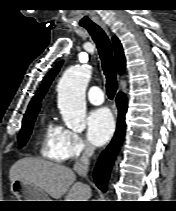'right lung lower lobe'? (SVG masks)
Here are the masks:
<instances>
[{
  "label": "right lung lower lobe",
  "mask_w": 176,
  "mask_h": 211,
  "mask_svg": "<svg viewBox=\"0 0 176 211\" xmlns=\"http://www.w3.org/2000/svg\"><path fill=\"white\" fill-rule=\"evenodd\" d=\"M116 103L119 111L116 133L110 145L101 154L99 162L94 170V181L102 191H106L107 189L110 171L125 135V114L127 111L126 96L123 93H119L116 97Z\"/></svg>",
  "instance_id": "right-lung-lower-lobe-1"
}]
</instances>
